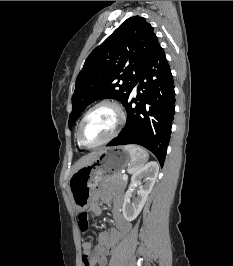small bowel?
Segmentation results:
<instances>
[{
  "mask_svg": "<svg viewBox=\"0 0 233 266\" xmlns=\"http://www.w3.org/2000/svg\"><path fill=\"white\" fill-rule=\"evenodd\" d=\"M100 197L104 202L113 201V218L114 227L109 231L101 232L98 236V244L93 249L90 241H84L82 244L83 249V263L85 266V258H91V265L98 264L99 266H105L107 264L108 256L113 252L115 245L120 238L126 234L130 229L129 222L124 218L122 214V199L120 197H114L113 199L109 195L96 196V199ZM90 211L96 215L101 213V209L96 202L90 205Z\"/></svg>",
  "mask_w": 233,
  "mask_h": 266,
  "instance_id": "c3829d8e",
  "label": "small bowel"
}]
</instances>
